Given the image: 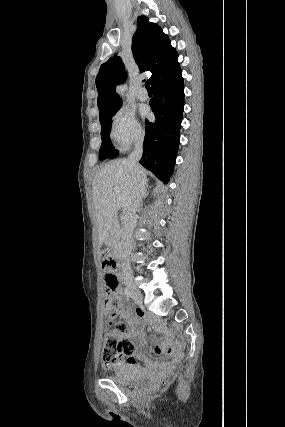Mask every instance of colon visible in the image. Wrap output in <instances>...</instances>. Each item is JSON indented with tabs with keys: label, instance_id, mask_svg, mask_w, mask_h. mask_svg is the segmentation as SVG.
<instances>
[{
	"label": "colon",
	"instance_id": "5ec220e1",
	"mask_svg": "<svg viewBox=\"0 0 285 427\" xmlns=\"http://www.w3.org/2000/svg\"><path fill=\"white\" fill-rule=\"evenodd\" d=\"M101 267L104 272L107 292L105 308L107 328L109 329L101 351V363L105 368L111 369L118 364L121 358L130 356L134 348L132 342L123 336L124 324L118 321L122 300L117 292L119 281L115 272V261L110 256L104 255L101 260ZM137 313L142 314L140 310ZM155 353L157 355H170V351L161 346L155 348Z\"/></svg>",
	"mask_w": 285,
	"mask_h": 427
}]
</instances>
